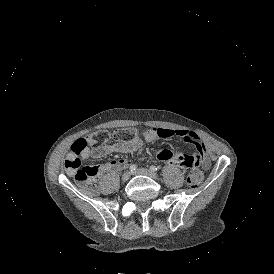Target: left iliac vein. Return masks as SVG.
<instances>
[{"label": "left iliac vein", "instance_id": "4c4485c4", "mask_svg": "<svg viewBox=\"0 0 274 274\" xmlns=\"http://www.w3.org/2000/svg\"><path fill=\"white\" fill-rule=\"evenodd\" d=\"M133 175H145V176H148L152 179H157L158 178V175L148 169H145V168H140L134 172H132Z\"/></svg>", "mask_w": 274, "mask_h": 274}]
</instances>
